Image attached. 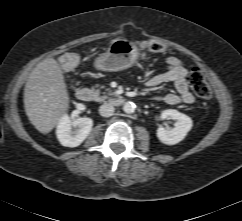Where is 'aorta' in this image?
Returning <instances> with one entry per match:
<instances>
[{"instance_id":"1","label":"aorta","mask_w":242,"mask_h":221,"mask_svg":"<svg viewBox=\"0 0 242 221\" xmlns=\"http://www.w3.org/2000/svg\"><path fill=\"white\" fill-rule=\"evenodd\" d=\"M136 105L133 102H126L123 105V111L127 114L133 113L135 111Z\"/></svg>"}]
</instances>
